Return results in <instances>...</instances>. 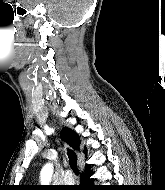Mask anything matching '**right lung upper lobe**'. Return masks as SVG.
Here are the masks:
<instances>
[{
    "label": "right lung upper lobe",
    "instance_id": "right-lung-upper-lobe-1",
    "mask_svg": "<svg viewBox=\"0 0 165 190\" xmlns=\"http://www.w3.org/2000/svg\"><path fill=\"white\" fill-rule=\"evenodd\" d=\"M61 137L63 140L67 141L69 145L75 149L79 150L80 149V139L77 133H75L73 130L69 128H64L61 133ZM84 153L87 154L86 149L84 150ZM88 164H86L87 166Z\"/></svg>",
    "mask_w": 165,
    "mask_h": 190
}]
</instances>
